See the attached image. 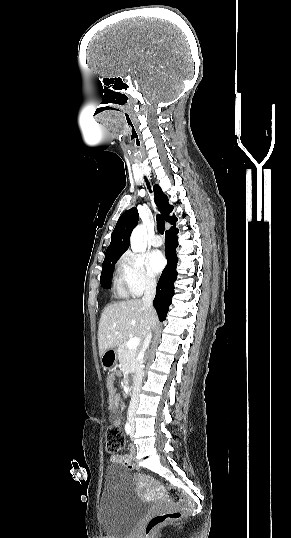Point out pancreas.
<instances>
[{
  "label": "pancreas",
  "mask_w": 291,
  "mask_h": 538,
  "mask_svg": "<svg viewBox=\"0 0 291 538\" xmlns=\"http://www.w3.org/2000/svg\"><path fill=\"white\" fill-rule=\"evenodd\" d=\"M138 349H130L127 346V341H124L118 346L117 358L121 364V370L123 372L132 373L136 367V356Z\"/></svg>",
  "instance_id": "cf45deb5"
}]
</instances>
